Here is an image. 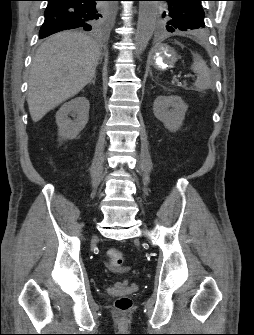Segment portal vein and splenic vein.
Here are the masks:
<instances>
[{
    "mask_svg": "<svg viewBox=\"0 0 254 335\" xmlns=\"http://www.w3.org/2000/svg\"><path fill=\"white\" fill-rule=\"evenodd\" d=\"M194 75H191V74H188V75H185V78H193Z\"/></svg>",
    "mask_w": 254,
    "mask_h": 335,
    "instance_id": "obj_1",
    "label": "portal vein and splenic vein"
}]
</instances>
